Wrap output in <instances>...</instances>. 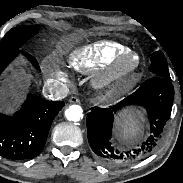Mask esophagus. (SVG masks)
I'll list each match as a JSON object with an SVG mask.
<instances>
[{"label": "esophagus", "instance_id": "esophagus-1", "mask_svg": "<svg viewBox=\"0 0 183 183\" xmlns=\"http://www.w3.org/2000/svg\"><path fill=\"white\" fill-rule=\"evenodd\" d=\"M69 102H70V103H79L80 100H79L78 97L72 96V97H70Z\"/></svg>", "mask_w": 183, "mask_h": 183}]
</instances>
